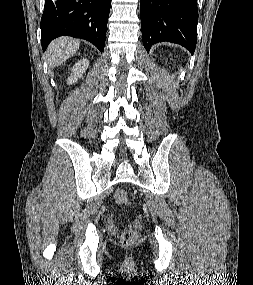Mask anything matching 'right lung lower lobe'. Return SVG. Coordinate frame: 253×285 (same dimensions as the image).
<instances>
[{"mask_svg": "<svg viewBox=\"0 0 253 285\" xmlns=\"http://www.w3.org/2000/svg\"><path fill=\"white\" fill-rule=\"evenodd\" d=\"M111 0H45L41 41L45 51L59 36L82 38L104 50Z\"/></svg>", "mask_w": 253, "mask_h": 285, "instance_id": "1", "label": "right lung lower lobe"}]
</instances>
